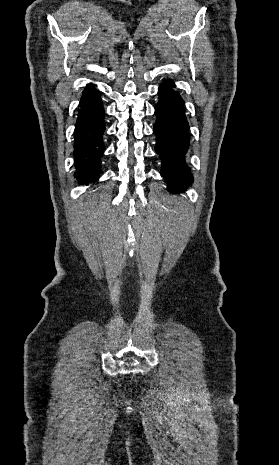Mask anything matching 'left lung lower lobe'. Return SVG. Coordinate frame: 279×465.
I'll return each mask as SVG.
<instances>
[{"label": "left lung lower lobe", "mask_w": 279, "mask_h": 465, "mask_svg": "<svg viewBox=\"0 0 279 465\" xmlns=\"http://www.w3.org/2000/svg\"><path fill=\"white\" fill-rule=\"evenodd\" d=\"M170 80L159 87V101L155 106V151L162 159L161 175L168 190L179 192L191 185L193 176L185 162L189 148V125L185 116L184 101Z\"/></svg>", "instance_id": "obj_1"}]
</instances>
